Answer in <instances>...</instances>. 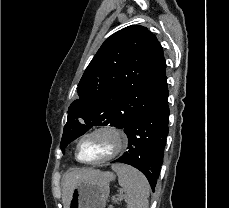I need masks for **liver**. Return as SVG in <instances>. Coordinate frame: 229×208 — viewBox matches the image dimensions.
<instances>
[{"instance_id": "obj_1", "label": "liver", "mask_w": 229, "mask_h": 208, "mask_svg": "<svg viewBox=\"0 0 229 208\" xmlns=\"http://www.w3.org/2000/svg\"><path fill=\"white\" fill-rule=\"evenodd\" d=\"M103 172L100 170H93V168H87V170H81V168H75L73 172H69L64 176L63 180V196L62 202L64 208H69L70 196L77 184L84 182V180H95V178H100Z\"/></svg>"}]
</instances>
